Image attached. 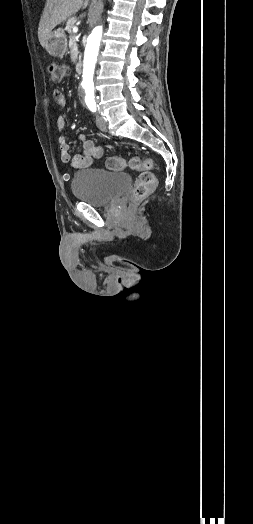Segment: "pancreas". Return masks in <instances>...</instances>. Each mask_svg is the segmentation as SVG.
Instances as JSON below:
<instances>
[{"mask_svg":"<svg viewBox=\"0 0 253 524\" xmlns=\"http://www.w3.org/2000/svg\"><path fill=\"white\" fill-rule=\"evenodd\" d=\"M76 18H70L68 19L67 23H66V27H65V30L70 33L72 35V29L74 27V24L76 23Z\"/></svg>","mask_w":253,"mask_h":524,"instance_id":"1","label":"pancreas"}]
</instances>
